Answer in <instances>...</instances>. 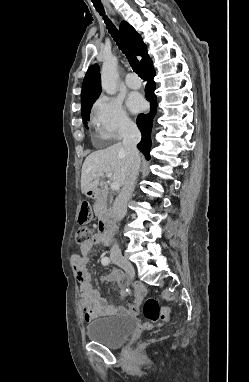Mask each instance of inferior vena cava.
<instances>
[{
    "mask_svg": "<svg viewBox=\"0 0 249 382\" xmlns=\"http://www.w3.org/2000/svg\"><path fill=\"white\" fill-rule=\"evenodd\" d=\"M140 140L141 133L138 127L134 123L127 124L123 137V146L127 152L129 167L125 181L123 183V187L113 204V214L116 221L121 220L126 215L127 203L131 199L134 192L135 183L140 167V155L137 149V144L140 142ZM110 256L112 258L121 256V249L119 248L118 244L113 245L110 251Z\"/></svg>",
    "mask_w": 249,
    "mask_h": 382,
    "instance_id": "1",
    "label": "inferior vena cava"
}]
</instances>
